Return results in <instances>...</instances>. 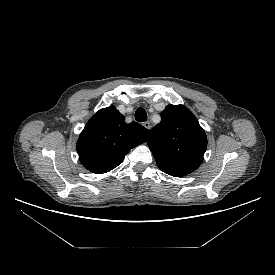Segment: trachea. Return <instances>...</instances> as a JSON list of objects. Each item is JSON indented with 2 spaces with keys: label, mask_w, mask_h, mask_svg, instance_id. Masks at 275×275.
<instances>
[{
  "label": "trachea",
  "mask_w": 275,
  "mask_h": 275,
  "mask_svg": "<svg viewBox=\"0 0 275 275\" xmlns=\"http://www.w3.org/2000/svg\"><path fill=\"white\" fill-rule=\"evenodd\" d=\"M135 120L138 122H144L147 120V113L143 108H138L135 112Z\"/></svg>",
  "instance_id": "3493384b"
}]
</instances>
